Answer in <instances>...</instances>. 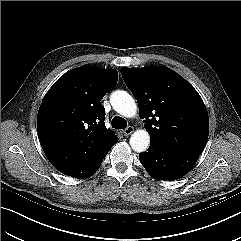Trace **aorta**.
<instances>
[{
    "label": "aorta",
    "instance_id": "1",
    "mask_svg": "<svg viewBox=\"0 0 241 241\" xmlns=\"http://www.w3.org/2000/svg\"><path fill=\"white\" fill-rule=\"evenodd\" d=\"M110 102L113 109L124 117L131 118L137 113V105L133 97L123 90H117L110 96ZM131 148L138 153L148 149L150 144V136L146 130L135 131L130 138Z\"/></svg>",
    "mask_w": 241,
    "mask_h": 241
}]
</instances>
